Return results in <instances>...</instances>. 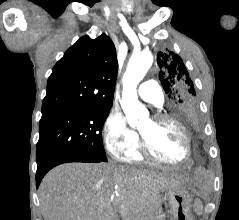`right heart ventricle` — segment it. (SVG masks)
I'll return each mask as SVG.
<instances>
[{
  "label": "right heart ventricle",
  "mask_w": 239,
  "mask_h": 220,
  "mask_svg": "<svg viewBox=\"0 0 239 220\" xmlns=\"http://www.w3.org/2000/svg\"><path fill=\"white\" fill-rule=\"evenodd\" d=\"M124 159L129 162H141L144 160V157L136 146L135 148L126 153Z\"/></svg>",
  "instance_id": "e07e8e85"
}]
</instances>
